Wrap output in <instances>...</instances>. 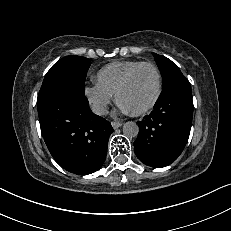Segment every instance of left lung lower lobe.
<instances>
[{
    "mask_svg": "<svg viewBox=\"0 0 231 231\" xmlns=\"http://www.w3.org/2000/svg\"><path fill=\"white\" fill-rule=\"evenodd\" d=\"M192 115L189 81L185 77L170 81L163 87L154 110L138 121L134 151L139 160L154 168L174 162L188 140Z\"/></svg>",
    "mask_w": 231,
    "mask_h": 231,
    "instance_id": "left-lung-lower-lobe-1",
    "label": "left lung lower lobe"
}]
</instances>
